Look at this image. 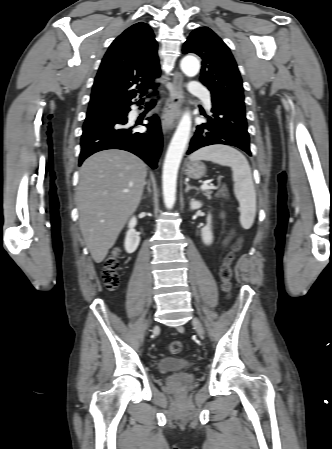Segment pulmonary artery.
I'll return each instance as SVG.
<instances>
[{"label": "pulmonary artery", "instance_id": "1", "mask_svg": "<svg viewBox=\"0 0 332 449\" xmlns=\"http://www.w3.org/2000/svg\"><path fill=\"white\" fill-rule=\"evenodd\" d=\"M190 92L191 94L200 97L203 100L206 108H211L210 93L206 87L198 83H193L190 87Z\"/></svg>", "mask_w": 332, "mask_h": 449}]
</instances>
